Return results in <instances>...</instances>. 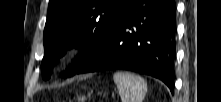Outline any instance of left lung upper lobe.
Here are the masks:
<instances>
[{
    "mask_svg": "<svg viewBox=\"0 0 221 102\" xmlns=\"http://www.w3.org/2000/svg\"><path fill=\"white\" fill-rule=\"evenodd\" d=\"M128 0H50L44 29L42 77L67 46H80V54L64 72L71 77L98 51L111 34Z\"/></svg>",
    "mask_w": 221,
    "mask_h": 102,
    "instance_id": "1",
    "label": "left lung upper lobe"
}]
</instances>
